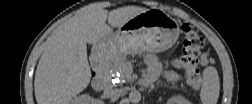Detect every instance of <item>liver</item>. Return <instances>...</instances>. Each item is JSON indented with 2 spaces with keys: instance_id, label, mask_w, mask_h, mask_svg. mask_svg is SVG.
Wrapping results in <instances>:
<instances>
[{
  "instance_id": "obj_1",
  "label": "liver",
  "mask_w": 252,
  "mask_h": 104,
  "mask_svg": "<svg viewBox=\"0 0 252 104\" xmlns=\"http://www.w3.org/2000/svg\"><path fill=\"white\" fill-rule=\"evenodd\" d=\"M145 11L143 7L126 6L109 12L93 4L60 25L47 39L36 68L37 103L67 104L87 88L91 79L87 43L97 44L113 34L112 28Z\"/></svg>"
}]
</instances>
